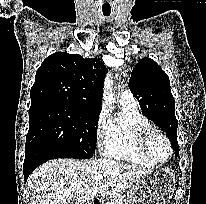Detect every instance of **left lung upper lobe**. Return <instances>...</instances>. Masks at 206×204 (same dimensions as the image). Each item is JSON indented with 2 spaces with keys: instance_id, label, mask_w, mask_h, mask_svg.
Listing matches in <instances>:
<instances>
[{
  "instance_id": "obj_1",
  "label": "left lung upper lobe",
  "mask_w": 206,
  "mask_h": 204,
  "mask_svg": "<svg viewBox=\"0 0 206 204\" xmlns=\"http://www.w3.org/2000/svg\"><path fill=\"white\" fill-rule=\"evenodd\" d=\"M128 85L138 100L143 114L166 132L175 156H179L178 121L175 117V101L167 74L155 61L143 58L133 69Z\"/></svg>"
}]
</instances>
